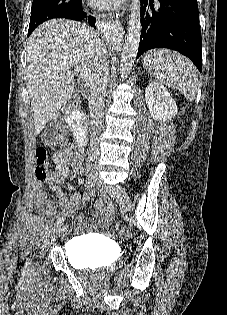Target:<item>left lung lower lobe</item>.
Listing matches in <instances>:
<instances>
[{
    "mask_svg": "<svg viewBox=\"0 0 227 315\" xmlns=\"http://www.w3.org/2000/svg\"><path fill=\"white\" fill-rule=\"evenodd\" d=\"M142 31L137 59L153 48H170L192 60L202 71V45L197 0H141ZM148 5V8L146 7Z\"/></svg>",
    "mask_w": 227,
    "mask_h": 315,
    "instance_id": "obj_1",
    "label": "left lung lower lobe"
}]
</instances>
